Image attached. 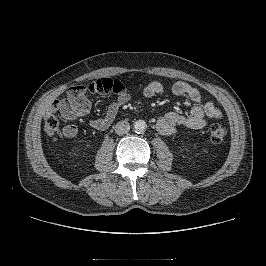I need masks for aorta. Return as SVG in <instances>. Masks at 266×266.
<instances>
[{
  "instance_id": "aorta-1",
  "label": "aorta",
  "mask_w": 266,
  "mask_h": 266,
  "mask_svg": "<svg viewBox=\"0 0 266 266\" xmlns=\"http://www.w3.org/2000/svg\"><path fill=\"white\" fill-rule=\"evenodd\" d=\"M146 122L144 120H137L134 122L133 128L137 133H142L146 130Z\"/></svg>"
}]
</instances>
